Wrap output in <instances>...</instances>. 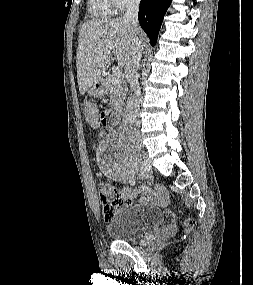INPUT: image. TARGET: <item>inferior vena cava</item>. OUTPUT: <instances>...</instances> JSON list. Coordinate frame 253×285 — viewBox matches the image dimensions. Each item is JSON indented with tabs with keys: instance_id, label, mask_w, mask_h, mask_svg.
Here are the masks:
<instances>
[{
	"instance_id": "602c4592",
	"label": "inferior vena cava",
	"mask_w": 253,
	"mask_h": 285,
	"mask_svg": "<svg viewBox=\"0 0 253 285\" xmlns=\"http://www.w3.org/2000/svg\"><path fill=\"white\" fill-rule=\"evenodd\" d=\"M140 0H128L127 9L123 16L125 22L130 23L133 27L138 26V10ZM143 46L136 41L135 48L125 65V74L130 84L131 96L126 106V114L130 122H138V110L141 102V91L138 83V68L142 56Z\"/></svg>"
}]
</instances>
